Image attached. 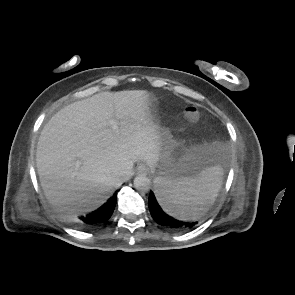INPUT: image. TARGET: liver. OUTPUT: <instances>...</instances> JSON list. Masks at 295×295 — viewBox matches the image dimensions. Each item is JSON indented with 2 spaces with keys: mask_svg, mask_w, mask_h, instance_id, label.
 Wrapping results in <instances>:
<instances>
[{
  "mask_svg": "<svg viewBox=\"0 0 295 295\" xmlns=\"http://www.w3.org/2000/svg\"><path fill=\"white\" fill-rule=\"evenodd\" d=\"M153 100L145 90L100 92L52 116L39 137L36 167L55 208L93 211L132 175L135 162L156 166L162 142Z\"/></svg>",
  "mask_w": 295,
  "mask_h": 295,
  "instance_id": "6515ba94",
  "label": "liver"
}]
</instances>
